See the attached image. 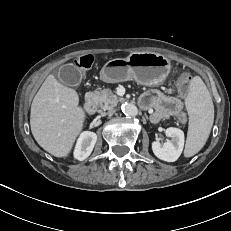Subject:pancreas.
<instances>
[{
  "label": "pancreas",
  "mask_w": 231,
  "mask_h": 231,
  "mask_svg": "<svg viewBox=\"0 0 231 231\" xmlns=\"http://www.w3.org/2000/svg\"><path fill=\"white\" fill-rule=\"evenodd\" d=\"M91 95L94 101L98 104V106L103 109H111L115 107L121 98H119L110 88H106L103 90H95L91 92Z\"/></svg>",
  "instance_id": "1"
}]
</instances>
